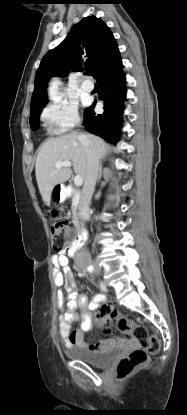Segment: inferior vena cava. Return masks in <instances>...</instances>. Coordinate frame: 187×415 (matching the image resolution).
Masks as SVG:
<instances>
[{
  "instance_id": "obj_1",
  "label": "inferior vena cava",
  "mask_w": 187,
  "mask_h": 415,
  "mask_svg": "<svg viewBox=\"0 0 187 415\" xmlns=\"http://www.w3.org/2000/svg\"><path fill=\"white\" fill-rule=\"evenodd\" d=\"M79 140L86 150L87 158L86 177L82 188L79 214L82 219L86 220L89 212V205L95 190V185L98 177L99 158L97 156L96 150L92 145V142L89 140L87 136L80 135Z\"/></svg>"
}]
</instances>
